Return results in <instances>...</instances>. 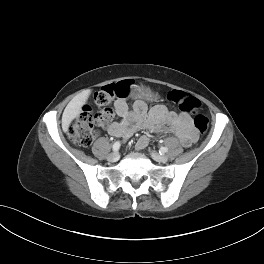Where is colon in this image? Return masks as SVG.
<instances>
[{"instance_id": "obj_1", "label": "colon", "mask_w": 264, "mask_h": 264, "mask_svg": "<svg viewBox=\"0 0 264 264\" xmlns=\"http://www.w3.org/2000/svg\"><path fill=\"white\" fill-rule=\"evenodd\" d=\"M130 93L131 83L129 81L111 84L99 91L95 96L98 112L93 113L89 107H83L68 128L70 140L80 146H89L97 134V128L108 124L113 117V110L110 107L111 100L125 98ZM167 98L181 111L194 114V126L199 133L207 130L209 121L201 113L202 105L196 97L180 90H172L167 94Z\"/></svg>"}]
</instances>
